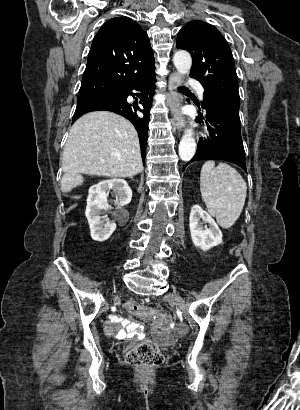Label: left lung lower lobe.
<instances>
[{"label": "left lung lower lobe", "mask_w": 300, "mask_h": 410, "mask_svg": "<svg viewBox=\"0 0 300 410\" xmlns=\"http://www.w3.org/2000/svg\"><path fill=\"white\" fill-rule=\"evenodd\" d=\"M202 107L205 111H198V119L206 121L209 138L198 142L196 154L186 166L199 160H225L246 171L239 107L214 98L207 99Z\"/></svg>", "instance_id": "0a47b994"}]
</instances>
